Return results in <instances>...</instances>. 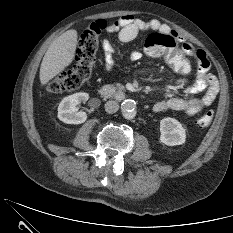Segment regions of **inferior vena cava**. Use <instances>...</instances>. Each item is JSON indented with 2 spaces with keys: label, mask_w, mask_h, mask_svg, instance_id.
Segmentation results:
<instances>
[{
  "label": "inferior vena cava",
  "mask_w": 233,
  "mask_h": 233,
  "mask_svg": "<svg viewBox=\"0 0 233 233\" xmlns=\"http://www.w3.org/2000/svg\"><path fill=\"white\" fill-rule=\"evenodd\" d=\"M118 109H119V104H118V102H116L114 100H110V101L105 103V111L109 114H113V113L117 112Z\"/></svg>",
  "instance_id": "inferior-vena-cava-1"
}]
</instances>
